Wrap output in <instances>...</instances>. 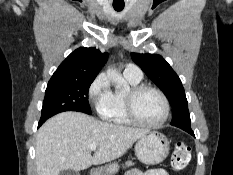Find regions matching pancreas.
<instances>
[{"mask_svg": "<svg viewBox=\"0 0 233 175\" xmlns=\"http://www.w3.org/2000/svg\"><path fill=\"white\" fill-rule=\"evenodd\" d=\"M133 165H134V163L132 161H127V162H125V166L123 165V167L125 168V167H130Z\"/></svg>", "mask_w": 233, "mask_h": 175, "instance_id": "1", "label": "pancreas"}]
</instances>
